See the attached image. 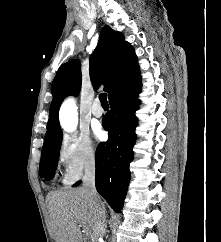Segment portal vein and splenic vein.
<instances>
[{
    "mask_svg": "<svg viewBox=\"0 0 221 242\" xmlns=\"http://www.w3.org/2000/svg\"><path fill=\"white\" fill-rule=\"evenodd\" d=\"M85 233H86V235H89V231L88 230H85Z\"/></svg>",
    "mask_w": 221,
    "mask_h": 242,
    "instance_id": "18ae733b",
    "label": "portal vein and splenic vein"
}]
</instances>
